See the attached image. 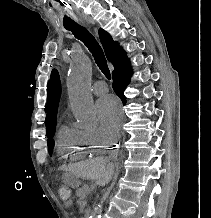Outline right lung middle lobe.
Segmentation results:
<instances>
[{"label":"right lung middle lobe","mask_w":211,"mask_h":218,"mask_svg":"<svg viewBox=\"0 0 211 218\" xmlns=\"http://www.w3.org/2000/svg\"><path fill=\"white\" fill-rule=\"evenodd\" d=\"M123 104L125 105L126 104V98H123L121 99ZM54 132H55V129L53 130V132L48 135V140H47V143H48V150H49V153L51 154L52 153V150H53V146H54V141H53V136H54Z\"/></svg>","instance_id":"dd1d6c3e"}]
</instances>
